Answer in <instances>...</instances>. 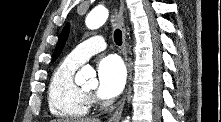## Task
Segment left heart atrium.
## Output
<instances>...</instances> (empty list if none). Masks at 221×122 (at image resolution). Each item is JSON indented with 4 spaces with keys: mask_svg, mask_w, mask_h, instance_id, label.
<instances>
[{
    "mask_svg": "<svg viewBox=\"0 0 221 122\" xmlns=\"http://www.w3.org/2000/svg\"><path fill=\"white\" fill-rule=\"evenodd\" d=\"M126 71L121 59L109 55L100 60L98 64L97 95L102 99L116 97L125 85Z\"/></svg>",
    "mask_w": 221,
    "mask_h": 122,
    "instance_id": "1",
    "label": "left heart atrium"
}]
</instances>
